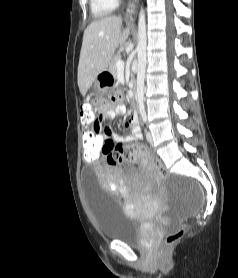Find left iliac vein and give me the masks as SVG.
Masks as SVG:
<instances>
[{
	"label": "left iliac vein",
	"mask_w": 238,
	"mask_h": 278,
	"mask_svg": "<svg viewBox=\"0 0 238 278\" xmlns=\"http://www.w3.org/2000/svg\"><path fill=\"white\" fill-rule=\"evenodd\" d=\"M146 138L150 144H153V137L150 131L146 132Z\"/></svg>",
	"instance_id": "1"
}]
</instances>
